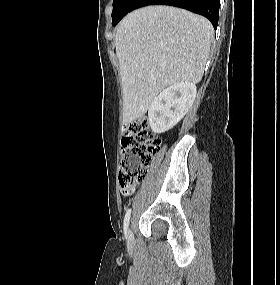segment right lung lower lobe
<instances>
[{"label":"right lung lower lobe","mask_w":280,"mask_h":285,"mask_svg":"<svg viewBox=\"0 0 280 285\" xmlns=\"http://www.w3.org/2000/svg\"><path fill=\"white\" fill-rule=\"evenodd\" d=\"M148 5H169L184 8L208 18L214 29L218 25L220 0H137L133 10Z\"/></svg>","instance_id":"98d812e1"}]
</instances>
